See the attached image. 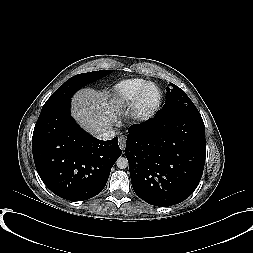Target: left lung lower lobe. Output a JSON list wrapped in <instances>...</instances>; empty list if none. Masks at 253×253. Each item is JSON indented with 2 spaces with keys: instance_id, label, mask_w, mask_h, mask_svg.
Instances as JSON below:
<instances>
[{
  "instance_id": "0a47b994",
  "label": "left lung lower lobe",
  "mask_w": 253,
  "mask_h": 253,
  "mask_svg": "<svg viewBox=\"0 0 253 253\" xmlns=\"http://www.w3.org/2000/svg\"><path fill=\"white\" fill-rule=\"evenodd\" d=\"M125 155L137 196L154 206L188 198L202 177L205 126L199 113H167L129 127Z\"/></svg>"
}]
</instances>
